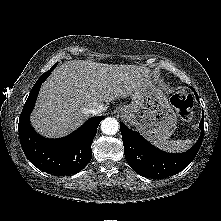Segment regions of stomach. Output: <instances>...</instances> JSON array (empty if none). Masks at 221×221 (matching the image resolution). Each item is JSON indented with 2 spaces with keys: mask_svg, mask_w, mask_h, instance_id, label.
Here are the masks:
<instances>
[{
  "mask_svg": "<svg viewBox=\"0 0 221 221\" xmlns=\"http://www.w3.org/2000/svg\"><path fill=\"white\" fill-rule=\"evenodd\" d=\"M130 97V104L118 108L121 116L149 140L168 139L176 129L177 116L164 91L149 80Z\"/></svg>",
  "mask_w": 221,
  "mask_h": 221,
  "instance_id": "1",
  "label": "stomach"
}]
</instances>
